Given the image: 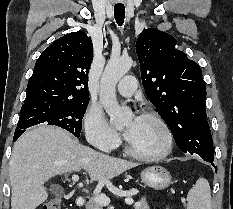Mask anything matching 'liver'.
Listing matches in <instances>:
<instances>
[{"mask_svg": "<svg viewBox=\"0 0 233 209\" xmlns=\"http://www.w3.org/2000/svg\"><path fill=\"white\" fill-rule=\"evenodd\" d=\"M84 146L67 131L42 125L14 144L10 162L11 209H36L48 198L44 183L55 175L85 170L94 181H106L136 167Z\"/></svg>", "mask_w": 233, "mask_h": 209, "instance_id": "1", "label": "liver"}]
</instances>
